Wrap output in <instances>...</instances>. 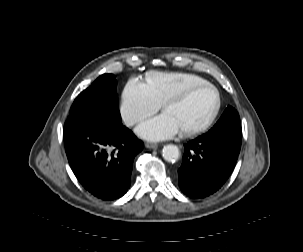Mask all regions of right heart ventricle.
Wrapping results in <instances>:
<instances>
[{
  "label": "right heart ventricle",
  "mask_w": 303,
  "mask_h": 252,
  "mask_svg": "<svg viewBox=\"0 0 303 252\" xmlns=\"http://www.w3.org/2000/svg\"><path fill=\"white\" fill-rule=\"evenodd\" d=\"M201 82L200 77L192 74L155 73L147 79L145 85L153 101L162 106Z\"/></svg>",
  "instance_id": "right-heart-ventricle-1"
}]
</instances>
